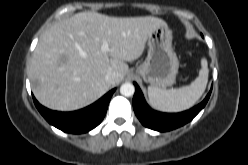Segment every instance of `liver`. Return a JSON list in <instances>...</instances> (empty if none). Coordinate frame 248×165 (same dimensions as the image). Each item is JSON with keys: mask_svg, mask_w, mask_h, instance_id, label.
<instances>
[{"mask_svg": "<svg viewBox=\"0 0 248 165\" xmlns=\"http://www.w3.org/2000/svg\"><path fill=\"white\" fill-rule=\"evenodd\" d=\"M166 22L157 17L118 18L97 12H80L45 31L34 50L30 80L43 106L73 111L98 100L120 83L128 64L139 58L149 35ZM106 41L109 50H101ZM115 72L114 83L106 82Z\"/></svg>", "mask_w": 248, "mask_h": 165, "instance_id": "liver-1", "label": "liver"}]
</instances>
